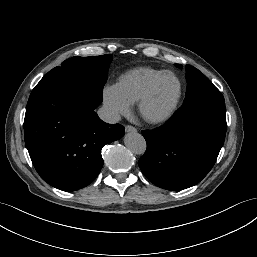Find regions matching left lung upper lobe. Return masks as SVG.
Instances as JSON below:
<instances>
[{"instance_id": "left-lung-upper-lobe-1", "label": "left lung upper lobe", "mask_w": 257, "mask_h": 257, "mask_svg": "<svg viewBox=\"0 0 257 257\" xmlns=\"http://www.w3.org/2000/svg\"><path fill=\"white\" fill-rule=\"evenodd\" d=\"M177 67H182L176 64ZM187 90L181 107H193L206 101L224 100L220 91L198 69L186 66Z\"/></svg>"}]
</instances>
